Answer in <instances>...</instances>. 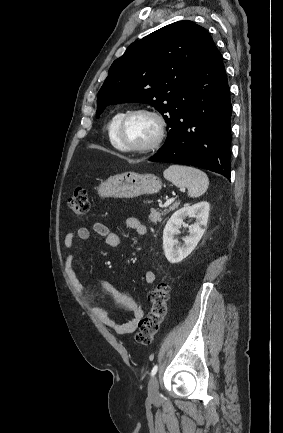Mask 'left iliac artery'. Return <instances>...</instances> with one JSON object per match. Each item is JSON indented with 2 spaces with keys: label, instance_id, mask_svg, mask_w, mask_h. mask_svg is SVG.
<instances>
[{
  "label": "left iliac artery",
  "instance_id": "obj_1",
  "mask_svg": "<svg viewBox=\"0 0 283 433\" xmlns=\"http://www.w3.org/2000/svg\"><path fill=\"white\" fill-rule=\"evenodd\" d=\"M157 370H158V365L156 364V365L152 368L151 376H154V375L156 374Z\"/></svg>",
  "mask_w": 283,
  "mask_h": 433
}]
</instances>
